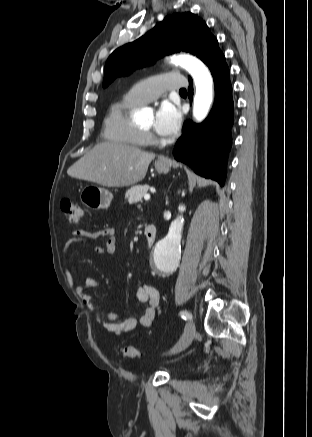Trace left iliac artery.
I'll list each match as a JSON object with an SVG mask.
<instances>
[{
	"mask_svg": "<svg viewBox=\"0 0 312 437\" xmlns=\"http://www.w3.org/2000/svg\"><path fill=\"white\" fill-rule=\"evenodd\" d=\"M180 315H181V317H182L184 320H187V319H191V318H192V315H191L188 311H186V310L181 311V312H180Z\"/></svg>",
	"mask_w": 312,
	"mask_h": 437,
	"instance_id": "left-iliac-artery-1",
	"label": "left iliac artery"
}]
</instances>
